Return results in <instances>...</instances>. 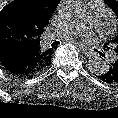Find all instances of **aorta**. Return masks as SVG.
Here are the masks:
<instances>
[{
	"label": "aorta",
	"mask_w": 118,
	"mask_h": 118,
	"mask_svg": "<svg viewBox=\"0 0 118 118\" xmlns=\"http://www.w3.org/2000/svg\"><path fill=\"white\" fill-rule=\"evenodd\" d=\"M81 10L82 7L79 0H63L59 8L61 16L68 20L78 18L81 14ZM107 68V64L100 58H93L88 62L89 71L95 75L105 73Z\"/></svg>",
	"instance_id": "obj_1"
}]
</instances>
